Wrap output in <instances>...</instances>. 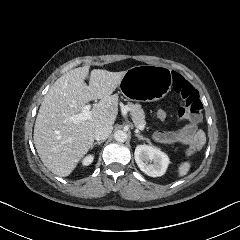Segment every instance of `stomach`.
Instances as JSON below:
<instances>
[{"label": "stomach", "instance_id": "1", "mask_svg": "<svg viewBox=\"0 0 240 240\" xmlns=\"http://www.w3.org/2000/svg\"><path fill=\"white\" fill-rule=\"evenodd\" d=\"M170 88L169 70L154 65L128 69L119 84V91L127 100L139 102L160 100L166 96Z\"/></svg>", "mask_w": 240, "mask_h": 240}]
</instances>
